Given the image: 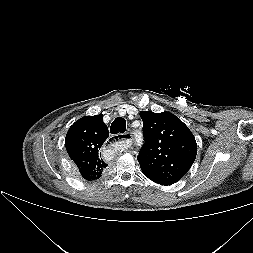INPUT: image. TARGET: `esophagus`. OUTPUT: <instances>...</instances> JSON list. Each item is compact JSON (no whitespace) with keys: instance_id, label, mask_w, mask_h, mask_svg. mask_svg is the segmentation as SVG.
<instances>
[{"instance_id":"esophagus-1","label":"esophagus","mask_w":253,"mask_h":253,"mask_svg":"<svg viewBox=\"0 0 253 253\" xmlns=\"http://www.w3.org/2000/svg\"><path fill=\"white\" fill-rule=\"evenodd\" d=\"M120 136L124 140L123 143H125L128 147L132 145L133 135L131 132H126L125 134H122Z\"/></svg>"}]
</instances>
